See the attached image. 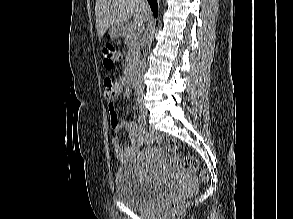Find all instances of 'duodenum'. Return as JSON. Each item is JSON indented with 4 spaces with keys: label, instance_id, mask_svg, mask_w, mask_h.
I'll use <instances>...</instances> for the list:
<instances>
[{
    "label": "duodenum",
    "instance_id": "obj_1",
    "mask_svg": "<svg viewBox=\"0 0 293 219\" xmlns=\"http://www.w3.org/2000/svg\"><path fill=\"white\" fill-rule=\"evenodd\" d=\"M126 82L130 84L131 86L136 85V78H135V71L132 67L128 68L127 74H126Z\"/></svg>",
    "mask_w": 293,
    "mask_h": 219
}]
</instances>
